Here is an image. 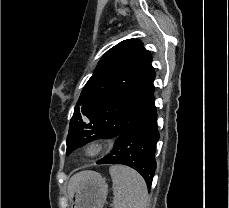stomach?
<instances>
[{
  "mask_svg": "<svg viewBox=\"0 0 229 208\" xmlns=\"http://www.w3.org/2000/svg\"><path fill=\"white\" fill-rule=\"evenodd\" d=\"M108 186L101 176L78 184L71 194L72 208H103Z\"/></svg>",
  "mask_w": 229,
  "mask_h": 208,
  "instance_id": "obj_1",
  "label": "stomach"
}]
</instances>
